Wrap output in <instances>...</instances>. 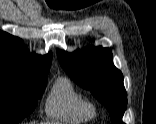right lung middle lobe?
I'll return each instance as SVG.
<instances>
[{
    "label": "right lung middle lobe",
    "instance_id": "1",
    "mask_svg": "<svg viewBox=\"0 0 156 124\" xmlns=\"http://www.w3.org/2000/svg\"><path fill=\"white\" fill-rule=\"evenodd\" d=\"M46 76L0 72V124H16L34 111L46 87Z\"/></svg>",
    "mask_w": 156,
    "mask_h": 124
}]
</instances>
